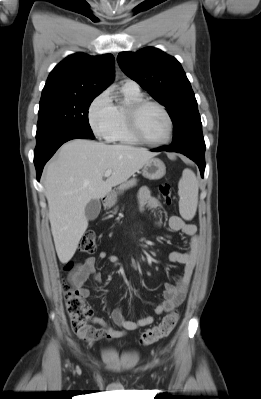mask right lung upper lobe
Wrapping results in <instances>:
<instances>
[{
	"label": "right lung upper lobe",
	"instance_id": "right-lung-upper-lobe-1",
	"mask_svg": "<svg viewBox=\"0 0 261 399\" xmlns=\"http://www.w3.org/2000/svg\"><path fill=\"white\" fill-rule=\"evenodd\" d=\"M114 57L111 54L69 55L51 71L42 96L99 95L113 81Z\"/></svg>",
	"mask_w": 261,
	"mask_h": 399
}]
</instances>
